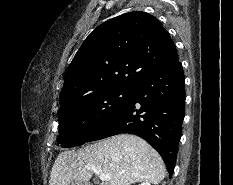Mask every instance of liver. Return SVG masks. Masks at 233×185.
<instances>
[{"instance_id":"liver-1","label":"liver","mask_w":233,"mask_h":185,"mask_svg":"<svg viewBox=\"0 0 233 185\" xmlns=\"http://www.w3.org/2000/svg\"><path fill=\"white\" fill-rule=\"evenodd\" d=\"M86 165L100 167L102 173L109 174L107 185H158L167 174L162 158L145 140L120 134L77 151L61 152L52 167L49 185H69L73 181L89 185L92 171L85 169Z\"/></svg>"}]
</instances>
